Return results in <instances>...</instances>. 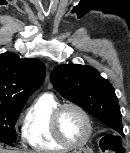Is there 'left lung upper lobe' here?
Segmentation results:
<instances>
[{"mask_svg":"<svg viewBox=\"0 0 130 153\" xmlns=\"http://www.w3.org/2000/svg\"><path fill=\"white\" fill-rule=\"evenodd\" d=\"M50 80L64 98L123 135L115 90L95 68L79 64L58 65L51 72Z\"/></svg>","mask_w":130,"mask_h":153,"instance_id":"1","label":"left lung upper lobe"}]
</instances>
